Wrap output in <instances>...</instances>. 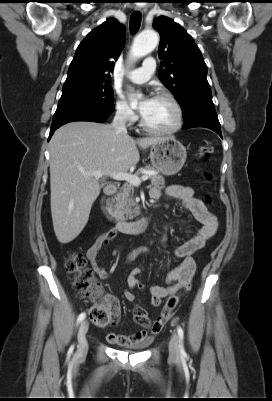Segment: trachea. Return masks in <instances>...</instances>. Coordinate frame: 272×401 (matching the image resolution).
Listing matches in <instances>:
<instances>
[{
    "label": "trachea",
    "instance_id": "trachea-1",
    "mask_svg": "<svg viewBox=\"0 0 272 401\" xmlns=\"http://www.w3.org/2000/svg\"><path fill=\"white\" fill-rule=\"evenodd\" d=\"M141 25V13L140 12H134L130 16V31L132 33H136Z\"/></svg>",
    "mask_w": 272,
    "mask_h": 401
}]
</instances>
